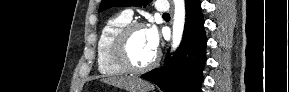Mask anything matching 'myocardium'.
Here are the masks:
<instances>
[{
  "instance_id": "myocardium-1",
  "label": "myocardium",
  "mask_w": 289,
  "mask_h": 92,
  "mask_svg": "<svg viewBox=\"0 0 289 92\" xmlns=\"http://www.w3.org/2000/svg\"><path fill=\"white\" fill-rule=\"evenodd\" d=\"M138 29H145L142 22H129L116 34L111 53L115 63L126 72L142 73L154 68L159 61V54L156 52L154 58L143 66L135 65L128 55V45L132 34Z\"/></svg>"
}]
</instances>
